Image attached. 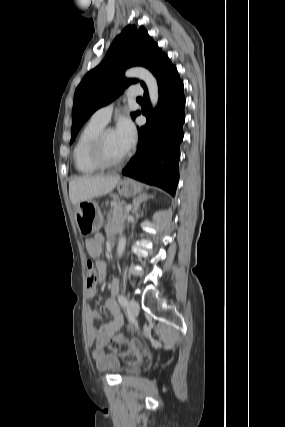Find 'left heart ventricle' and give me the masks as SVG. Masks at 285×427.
<instances>
[{
  "label": "left heart ventricle",
  "mask_w": 285,
  "mask_h": 427,
  "mask_svg": "<svg viewBox=\"0 0 285 427\" xmlns=\"http://www.w3.org/2000/svg\"><path fill=\"white\" fill-rule=\"evenodd\" d=\"M128 151L119 140L115 130H110L105 138L104 153L109 161H115L123 157Z\"/></svg>",
  "instance_id": "b2bd125f"
}]
</instances>
